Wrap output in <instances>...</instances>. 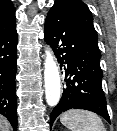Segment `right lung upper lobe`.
Here are the masks:
<instances>
[{
	"label": "right lung upper lobe",
	"mask_w": 117,
	"mask_h": 131,
	"mask_svg": "<svg viewBox=\"0 0 117 131\" xmlns=\"http://www.w3.org/2000/svg\"><path fill=\"white\" fill-rule=\"evenodd\" d=\"M15 24V8L10 0H0V36L10 32Z\"/></svg>",
	"instance_id": "obj_1"
}]
</instances>
